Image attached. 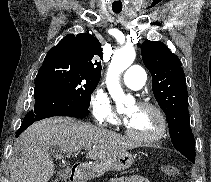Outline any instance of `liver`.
Listing matches in <instances>:
<instances>
[{
  "label": "liver",
  "instance_id": "1",
  "mask_svg": "<svg viewBox=\"0 0 211 182\" xmlns=\"http://www.w3.org/2000/svg\"><path fill=\"white\" fill-rule=\"evenodd\" d=\"M60 152H78L93 147L88 159L102 161L137 147L127 137L78 121L70 117H54L32 124L17 139L10 163L9 182H48L55 165L50 148Z\"/></svg>",
  "mask_w": 211,
  "mask_h": 182
}]
</instances>
